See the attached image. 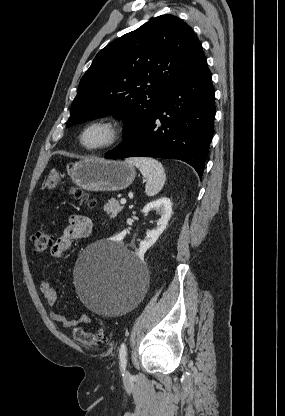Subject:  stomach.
<instances>
[{"label":"stomach","instance_id":"stomach-1","mask_svg":"<svg viewBox=\"0 0 285 416\" xmlns=\"http://www.w3.org/2000/svg\"><path fill=\"white\" fill-rule=\"evenodd\" d=\"M73 184L87 192H119L132 184L136 172L131 164L120 160H80L68 172ZM61 178L56 170H51L44 188L53 190Z\"/></svg>","mask_w":285,"mask_h":416}]
</instances>
